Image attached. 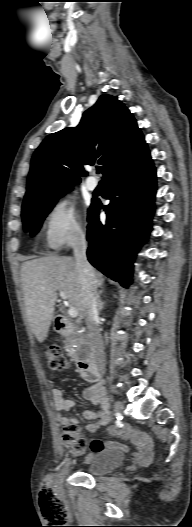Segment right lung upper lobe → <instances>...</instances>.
Masks as SVG:
<instances>
[{"label": "right lung upper lobe", "mask_w": 192, "mask_h": 527, "mask_svg": "<svg viewBox=\"0 0 192 527\" xmlns=\"http://www.w3.org/2000/svg\"><path fill=\"white\" fill-rule=\"evenodd\" d=\"M144 142L136 120L117 97L100 96L76 128L50 134L36 149L22 207L70 191L87 175L85 165L102 164L105 177Z\"/></svg>", "instance_id": "cb5924a9"}]
</instances>
